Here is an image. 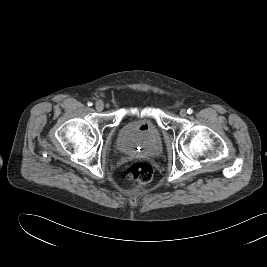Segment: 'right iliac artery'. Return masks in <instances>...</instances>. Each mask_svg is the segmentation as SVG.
Returning <instances> with one entry per match:
<instances>
[{"instance_id":"obj_1","label":"right iliac artery","mask_w":267,"mask_h":267,"mask_svg":"<svg viewBox=\"0 0 267 267\" xmlns=\"http://www.w3.org/2000/svg\"><path fill=\"white\" fill-rule=\"evenodd\" d=\"M87 105L88 106H92L93 104H92V102H88Z\"/></svg>"}]
</instances>
